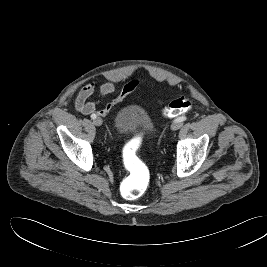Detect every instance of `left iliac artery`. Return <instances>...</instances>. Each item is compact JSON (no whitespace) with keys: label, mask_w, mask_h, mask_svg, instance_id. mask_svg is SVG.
Returning a JSON list of instances; mask_svg holds the SVG:
<instances>
[{"label":"left iliac artery","mask_w":267,"mask_h":267,"mask_svg":"<svg viewBox=\"0 0 267 267\" xmlns=\"http://www.w3.org/2000/svg\"><path fill=\"white\" fill-rule=\"evenodd\" d=\"M185 120H187V117H185V116H181V117H178L175 121L183 122V121H185Z\"/></svg>","instance_id":"44dca946"}]
</instances>
